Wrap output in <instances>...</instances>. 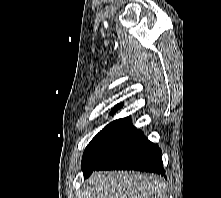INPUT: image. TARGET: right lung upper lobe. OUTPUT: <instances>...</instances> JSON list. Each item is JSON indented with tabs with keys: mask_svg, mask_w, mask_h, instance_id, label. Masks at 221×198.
Masks as SVG:
<instances>
[{
	"mask_svg": "<svg viewBox=\"0 0 221 198\" xmlns=\"http://www.w3.org/2000/svg\"><path fill=\"white\" fill-rule=\"evenodd\" d=\"M120 107H122V104H118V105L116 106V108L114 109V112H115L118 108H120ZM114 122H129V118L127 117V118L119 119V120H116V121H114Z\"/></svg>",
	"mask_w": 221,
	"mask_h": 198,
	"instance_id": "1",
	"label": "right lung upper lobe"
}]
</instances>
